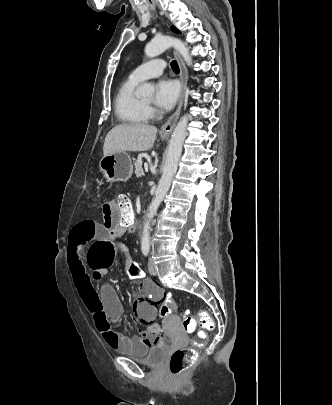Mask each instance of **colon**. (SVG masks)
I'll list each match as a JSON object with an SVG mask.
<instances>
[{"label":"colon","instance_id":"obj_1","mask_svg":"<svg viewBox=\"0 0 332 405\" xmlns=\"http://www.w3.org/2000/svg\"><path fill=\"white\" fill-rule=\"evenodd\" d=\"M117 197V202L115 203V208L120 209L121 221L120 223H126L132 219L135 215L133 206L130 199L125 194H119ZM98 248H90L89 255L91 260V267L95 270L101 268L102 275H118L119 268L122 266V262L129 263L127 267V272L136 281H140L143 277V272L138 262H131L132 258L130 256L122 257L119 249L122 247L121 240H99ZM153 288H163L160 285H155ZM159 301L160 309L159 313L155 314L156 322H165L167 319H172L173 311L176 309L175 299L167 294V297H163ZM183 329L190 333L196 327V320L192 319L188 312H183L180 314ZM197 318L200 321L202 327L211 331L213 329V322L206 310H199L197 312ZM205 338L204 332H199L197 334V340L202 341ZM196 351L193 348H181L172 352L169 369L170 372L177 376L191 367L196 360Z\"/></svg>","mask_w":332,"mask_h":405}]
</instances>
